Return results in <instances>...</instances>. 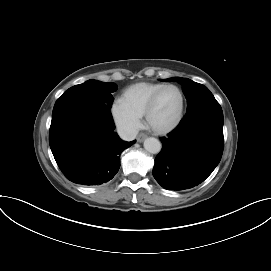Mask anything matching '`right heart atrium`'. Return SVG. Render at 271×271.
<instances>
[{
	"label": "right heart atrium",
	"instance_id": "1",
	"mask_svg": "<svg viewBox=\"0 0 271 271\" xmlns=\"http://www.w3.org/2000/svg\"><path fill=\"white\" fill-rule=\"evenodd\" d=\"M111 115L116 127L125 137H133L141 127V117L130 111L120 99L112 104Z\"/></svg>",
	"mask_w": 271,
	"mask_h": 271
}]
</instances>
